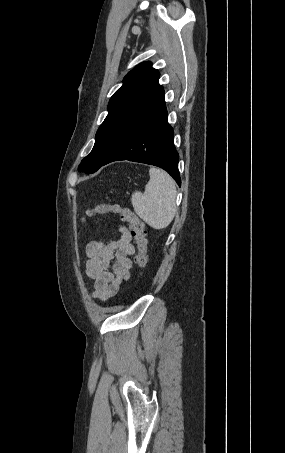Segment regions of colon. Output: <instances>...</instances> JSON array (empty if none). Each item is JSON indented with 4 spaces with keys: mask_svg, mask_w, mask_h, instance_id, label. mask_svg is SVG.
<instances>
[{
    "mask_svg": "<svg viewBox=\"0 0 285 453\" xmlns=\"http://www.w3.org/2000/svg\"><path fill=\"white\" fill-rule=\"evenodd\" d=\"M101 214L119 215L122 220L129 223L131 234L136 241L138 249L134 262L139 272H143L149 262L147 250V229L145 223L137 217L129 207H122L117 204H99L86 211L87 218Z\"/></svg>",
    "mask_w": 285,
    "mask_h": 453,
    "instance_id": "5ec220e1",
    "label": "colon"
}]
</instances>
